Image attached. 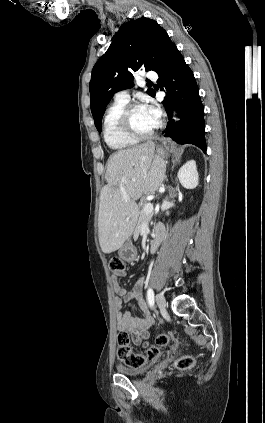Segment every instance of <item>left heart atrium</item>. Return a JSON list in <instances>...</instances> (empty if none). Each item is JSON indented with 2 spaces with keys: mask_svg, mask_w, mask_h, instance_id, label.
Masks as SVG:
<instances>
[{
  "mask_svg": "<svg viewBox=\"0 0 265 423\" xmlns=\"http://www.w3.org/2000/svg\"><path fill=\"white\" fill-rule=\"evenodd\" d=\"M144 107L146 108L147 112L152 117V119L158 124L161 116L159 108L154 104H148Z\"/></svg>",
  "mask_w": 265,
  "mask_h": 423,
  "instance_id": "left-heart-atrium-1",
  "label": "left heart atrium"
}]
</instances>
